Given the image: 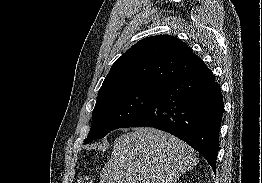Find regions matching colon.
I'll return each instance as SVG.
<instances>
[{"mask_svg":"<svg viewBox=\"0 0 262 183\" xmlns=\"http://www.w3.org/2000/svg\"><path fill=\"white\" fill-rule=\"evenodd\" d=\"M77 183H93V180L87 175H82L78 178Z\"/></svg>","mask_w":262,"mask_h":183,"instance_id":"5ec220e1","label":"colon"}]
</instances>
